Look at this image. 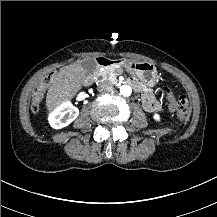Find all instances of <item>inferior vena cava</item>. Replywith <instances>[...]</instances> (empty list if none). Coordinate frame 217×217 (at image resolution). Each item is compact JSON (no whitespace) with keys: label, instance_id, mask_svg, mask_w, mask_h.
<instances>
[{"label":"inferior vena cava","instance_id":"602c4592","mask_svg":"<svg viewBox=\"0 0 217 217\" xmlns=\"http://www.w3.org/2000/svg\"><path fill=\"white\" fill-rule=\"evenodd\" d=\"M97 90L102 93H108L113 90V87L108 82L104 81L98 84Z\"/></svg>","mask_w":217,"mask_h":217}]
</instances>
